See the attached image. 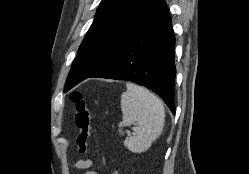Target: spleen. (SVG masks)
I'll return each mask as SVG.
<instances>
[{
  "instance_id": "3e777b00",
  "label": "spleen",
  "mask_w": 249,
  "mask_h": 174,
  "mask_svg": "<svg viewBox=\"0 0 249 174\" xmlns=\"http://www.w3.org/2000/svg\"><path fill=\"white\" fill-rule=\"evenodd\" d=\"M126 87L127 91L121 95L123 119L119 127L134 124V133L125 139L124 146L134 153H142L161 135L165 111L160 99L149 90L133 83H127Z\"/></svg>"
}]
</instances>
